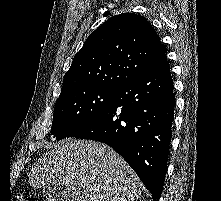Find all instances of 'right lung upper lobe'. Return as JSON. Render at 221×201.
I'll return each mask as SVG.
<instances>
[{"instance_id":"right-lung-upper-lobe-1","label":"right lung upper lobe","mask_w":221,"mask_h":201,"mask_svg":"<svg viewBox=\"0 0 221 201\" xmlns=\"http://www.w3.org/2000/svg\"><path fill=\"white\" fill-rule=\"evenodd\" d=\"M165 61L164 47L147 19L135 13L113 16L84 42L64 75L59 97L91 88L117 90Z\"/></svg>"}]
</instances>
